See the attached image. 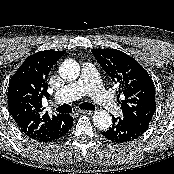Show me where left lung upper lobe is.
Returning <instances> with one entry per match:
<instances>
[{"label": "left lung upper lobe", "instance_id": "1", "mask_svg": "<svg viewBox=\"0 0 174 174\" xmlns=\"http://www.w3.org/2000/svg\"><path fill=\"white\" fill-rule=\"evenodd\" d=\"M91 52L124 95L123 100L118 101L123 111L122 119L148 128L156 103L154 84L147 71L122 51L92 49Z\"/></svg>", "mask_w": 174, "mask_h": 174}]
</instances>
